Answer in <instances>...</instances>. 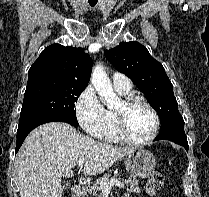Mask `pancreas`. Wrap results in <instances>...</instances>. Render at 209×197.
Wrapping results in <instances>:
<instances>
[{"label": "pancreas", "mask_w": 209, "mask_h": 197, "mask_svg": "<svg viewBox=\"0 0 209 197\" xmlns=\"http://www.w3.org/2000/svg\"><path fill=\"white\" fill-rule=\"evenodd\" d=\"M110 174H105L101 177V179L97 180L93 184H89L86 188V191L91 194L93 197H101V188H100V181H109ZM139 181L134 177L130 176L128 179V186L130 187V191L134 193H140V188L138 186Z\"/></svg>", "instance_id": "1"}]
</instances>
